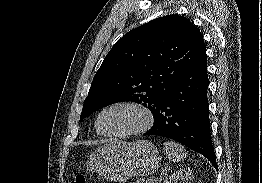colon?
<instances>
[{
    "label": "colon",
    "mask_w": 262,
    "mask_h": 183,
    "mask_svg": "<svg viewBox=\"0 0 262 183\" xmlns=\"http://www.w3.org/2000/svg\"><path fill=\"white\" fill-rule=\"evenodd\" d=\"M86 176L84 174H79L75 177L72 183H86Z\"/></svg>",
    "instance_id": "1"
}]
</instances>
